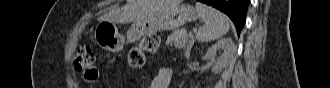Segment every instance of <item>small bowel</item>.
<instances>
[{
	"label": "small bowel",
	"instance_id": "c3829d8e",
	"mask_svg": "<svg viewBox=\"0 0 330 88\" xmlns=\"http://www.w3.org/2000/svg\"><path fill=\"white\" fill-rule=\"evenodd\" d=\"M171 72L167 68H160L152 80L149 88H167L170 82Z\"/></svg>",
	"mask_w": 330,
	"mask_h": 88
}]
</instances>
